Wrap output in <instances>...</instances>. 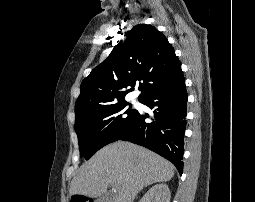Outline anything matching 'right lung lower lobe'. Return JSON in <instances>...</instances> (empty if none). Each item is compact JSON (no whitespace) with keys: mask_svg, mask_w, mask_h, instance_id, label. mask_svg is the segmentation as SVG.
<instances>
[{"mask_svg":"<svg viewBox=\"0 0 255 202\" xmlns=\"http://www.w3.org/2000/svg\"><path fill=\"white\" fill-rule=\"evenodd\" d=\"M187 99L184 78L147 95L141 103L155 109L153 122L146 123L149 116L138 113L129 130L118 140L130 141L158 153L182 174Z\"/></svg>","mask_w":255,"mask_h":202,"instance_id":"right-lung-lower-lobe-1","label":"right lung lower lobe"}]
</instances>
